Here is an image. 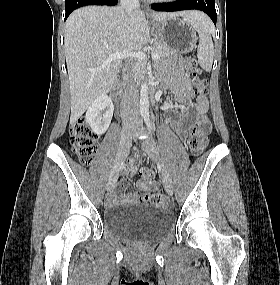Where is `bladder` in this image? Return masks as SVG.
Wrapping results in <instances>:
<instances>
[{
    "instance_id": "31cf9c89",
    "label": "bladder",
    "mask_w": 280,
    "mask_h": 285,
    "mask_svg": "<svg viewBox=\"0 0 280 285\" xmlns=\"http://www.w3.org/2000/svg\"><path fill=\"white\" fill-rule=\"evenodd\" d=\"M103 221L115 235L150 241L171 228L173 217L168 210L153 205H119L107 209Z\"/></svg>"
}]
</instances>
